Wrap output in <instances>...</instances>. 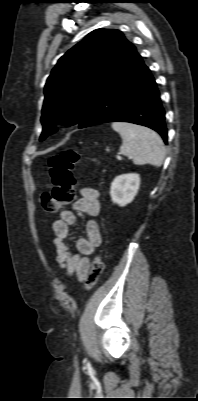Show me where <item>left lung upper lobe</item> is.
<instances>
[{
	"mask_svg": "<svg viewBox=\"0 0 198 401\" xmlns=\"http://www.w3.org/2000/svg\"><path fill=\"white\" fill-rule=\"evenodd\" d=\"M134 48L121 31L97 29L65 53L46 81L40 140L55 124H77Z\"/></svg>",
	"mask_w": 198,
	"mask_h": 401,
	"instance_id": "5c2ea615",
	"label": "left lung upper lobe"
}]
</instances>
